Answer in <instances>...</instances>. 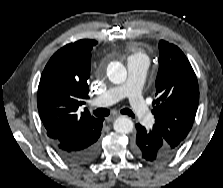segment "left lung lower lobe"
Returning <instances> with one entry per match:
<instances>
[{"instance_id": "1", "label": "left lung lower lobe", "mask_w": 223, "mask_h": 188, "mask_svg": "<svg viewBox=\"0 0 223 188\" xmlns=\"http://www.w3.org/2000/svg\"><path fill=\"white\" fill-rule=\"evenodd\" d=\"M136 129L137 136L133 151L138 157L154 162L167 160L174 155L158 131L155 129L148 131L140 124L136 125Z\"/></svg>"}]
</instances>
